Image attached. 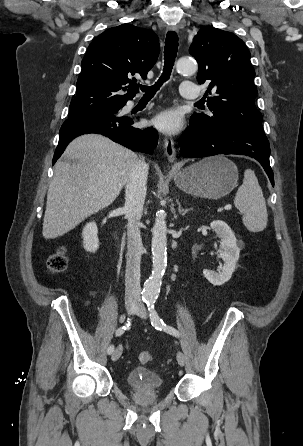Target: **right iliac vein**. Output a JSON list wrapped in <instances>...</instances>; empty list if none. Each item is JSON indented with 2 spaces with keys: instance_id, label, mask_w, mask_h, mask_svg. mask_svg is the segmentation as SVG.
Listing matches in <instances>:
<instances>
[{
  "instance_id": "63e3f726",
  "label": "right iliac vein",
  "mask_w": 303,
  "mask_h": 446,
  "mask_svg": "<svg viewBox=\"0 0 303 446\" xmlns=\"http://www.w3.org/2000/svg\"><path fill=\"white\" fill-rule=\"evenodd\" d=\"M137 309V305L135 303L129 302L126 303V311L129 315L133 314ZM122 346H118L115 351L113 352L111 359L112 361H116L120 358L122 354Z\"/></svg>"
}]
</instances>
